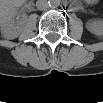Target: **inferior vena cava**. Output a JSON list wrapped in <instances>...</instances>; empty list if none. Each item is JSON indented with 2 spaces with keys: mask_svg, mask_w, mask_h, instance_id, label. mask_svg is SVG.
<instances>
[{
  "mask_svg": "<svg viewBox=\"0 0 103 103\" xmlns=\"http://www.w3.org/2000/svg\"><path fill=\"white\" fill-rule=\"evenodd\" d=\"M36 7L38 10L43 11V10H46L48 8V3L46 0H38L36 2Z\"/></svg>",
  "mask_w": 103,
  "mask_h": 103,
  "instance_id": "602c4592",
  "label": "inferior vena cava"
}]
</instances>
